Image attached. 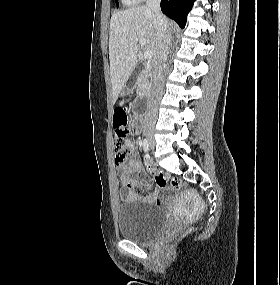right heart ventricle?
<instances>
[{
  "label": "right heart ventricle",
  "instance_id": "1",
  "mask_svg": "<svg viewBox=\"0 0 280 285\" xmlns=\"http://www.w3.org/2000/svg\"><path fill=\"white\" fill-rule=\"evenodd\" d=\"M137 1H140V0H122L123 4H125L127 6L133 5Z\"/></svg>",
  "mask_w": 280,
  "mask_h": 285
}]
</instances>
